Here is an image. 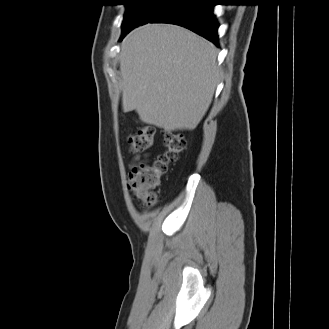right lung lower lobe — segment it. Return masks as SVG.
Wrapping results in <instances>:
<instances>
[{
	"instance_id": "98d812e1",
	"label": "right lung lower lobe",
	"mask_w": 329,
	"mask_h": 329,
	"mask_svg": "<svg viewBox=\"0 0 329 329\" xmlns=\"http://www.w3.org/2000/svg\"><path fill=\"white\" fill-rule=\"evenodd\" d=\"M211 1L215 0H177L163 8L149 22L176 24L218 44V23Z\"/></svg>"
}]
</instances>
